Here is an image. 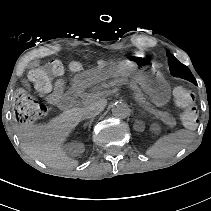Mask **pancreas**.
<instances>
[{"label":"pancreas","instance_id":"1","mask_svg":"<svg viewBox=\"0 0 211 211\" xmlns=\"http://www.w3.org/2000/svg\"><path fill=\"white\" fill-rule=\"evenodd\" d=\"M116 84L120 85L121 80L120 79L117 80ZM134 89H135V93H134L135 100L139 103L144 102L142 92L136 86L134 87ZM152 113L155 115V117L160 118V120L163 123L167 124L168 126L174 127L176 125V120L174 118L170 117L169 114H167L166 112L152 110Z\"/></svg>","mask_w":211,"mask_h":211}]
</instances>
